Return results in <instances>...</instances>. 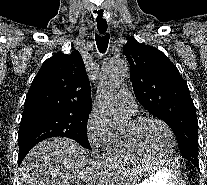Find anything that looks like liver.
Instances as JSON below:
<instances>
[{"label":"liver","instance_id":"liver-1","mask_svg":"<svg viewBox=\"0 0 207 185\" xmlns=\"http://www.w3.org/2000/svg\"><path fill=\"white\" fill-rule=\"evenodd\" d=\"M97 163L76 141L52 137L35 145L20 169V185H72L87 179L96 183Z\"/></svg>","mask_w":207,"mask_h":185}]
</instances>
